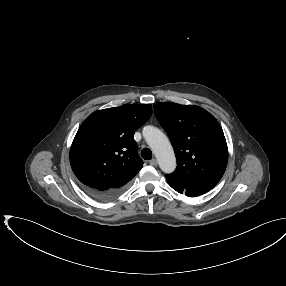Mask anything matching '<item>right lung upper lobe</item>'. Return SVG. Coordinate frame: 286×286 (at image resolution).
<instances>
[{
  "label": "right lung upper lobe",
  "mask_w": 286,
  "mask_h": 286,
  "mask_svg": "<svg viewBox=\"0 0 286 286\" xmlns=\"http://www.w3.org/2000/svg\"><path fill=\"white\" fill-rule=\"evenodd\" d=\"M152 115L150 104H125L93 112L70 149L72 170L83 186L125 189L143 166L135 131Z\"/></svg>",
  "instance_id": "cb5924a9"
}]
</instances>
